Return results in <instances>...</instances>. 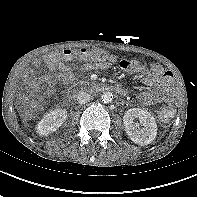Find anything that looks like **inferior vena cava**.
I'll return each instance as SVG.
<instances>
[{
	"mask_svg": "<svg viewBox=\"0 0 197 197\" xmlns=\"http://www.w3.org/2000/svg\"><path fill=\"white\" fill-rule=\"evenodd\" d=\"M90 94L86 92H80L77 95V101L79 104H86L90 101Z\"/></svg>",
	"mask_w": 197,
	"mask_h": 197,
	"instance_id": "obj_1",
	"label": "inferior vena cava"
}]
</instances>
